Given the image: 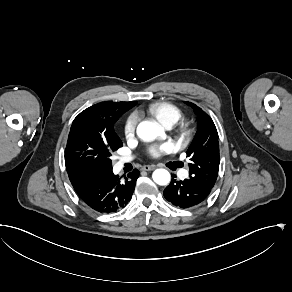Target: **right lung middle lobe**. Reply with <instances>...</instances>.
<instances>
[{"label": "right lung middle lobe", "mask_w": 292, "mask_h": 292, "mask_svg": "<svg viewBox=\"0 0 292 292\" xmlns=\"http://www.w3.org/2000/svg\"><path fill=\"white\" fill-rule=\"evenodd\" d=\"M115 122L98 117L88 108L73 121L65 149L69 169L106 171L112 169L111 154L123 143L114 131Z\"/></svg>", "instance_id": "obj_1"}]
</instances>
